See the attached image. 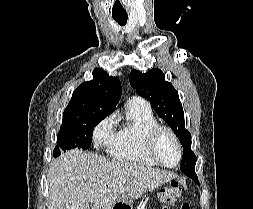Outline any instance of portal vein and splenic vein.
<instances>
[{
    "label": "portal vein and splenic vein",
    "instance_id": "portal-vein-and-splenic-vein-1",
    "mask_svg": "<svg viewBox=\"0 0 253 209\" xmlns=\"http://www.w3.org/2000/svg\"><path fill=\"white\" fill-rule=\"evenodd\" d=\"M100 191L103 192V193L107 192L106 189H100Z\"/></svg>",
    "mask_w": 253,
    "mask_h": 209
}]
</instances>
